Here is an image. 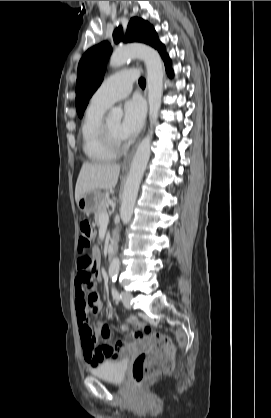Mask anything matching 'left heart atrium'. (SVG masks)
I'll use <instances>...</instances> for the list:
<instances>
[{
	"instance_id": "left-heart-atrium-1",
	"label": "left heart atrium",
	"mask_w": 271,
	"mask_h": 418,
	"mask_svg": "<svg viewBox=\"0 0 271 418\" xmlns=\"http://www.w3.org/2000/svg\"><path fill=\"white\" fill-rule=\"evenodd\" d=\"M145 118V106L141 99L132 98L125 103L124 117L120 127L122 138H130L141 129Z\"/></svg>"
}]
</instances>
